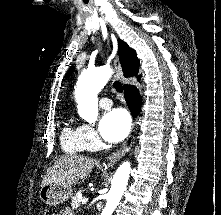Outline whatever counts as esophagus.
<instances>
[{"mask_svg": "<svg viewBox=\"0 0 221 215\" xmlns=\"http://www.w3.org/2000/svg\"><path fill=\"white\" fill-rule=\"evenodd\" d=\"M106 48H107V53L110 52L111 50V43H110V40L109 38L107 39L106 41ZM113 66H114V69L116 71V76L117 78L122 81L124 79V76H123V73H122V70H121V67H120V64H119V61L117 58H115L113 60ZM128 147L127 146H123L119 151L115 152V153H112L111 155L108 156V162L109 164H114L116 163L122 156H124L127 152H128Z\"/></svg>", "mask_w": 221, "mask_h": 215, "instance_id": "esophagus-1", "label": "esophagus"}]
</instances>
